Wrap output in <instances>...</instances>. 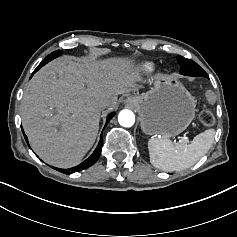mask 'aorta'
Listing matches in <instances>:
<instances>
[{
  "instance_id": "1",
  "label": "aorta",
  "mask_w": 237,
  "mask_h": 237,
  "mask_svg": "<svg viewBox=\"0 0 237 237\" xmlns=\"http://www.w3.org/2000/svg\"><path fill=\"white\" fill-rule=\"evenodd\" d=\"M118 122L123 127H131L135 123V115L131 110H122L118 115Z\"/></svg>"
}]
</instances>
